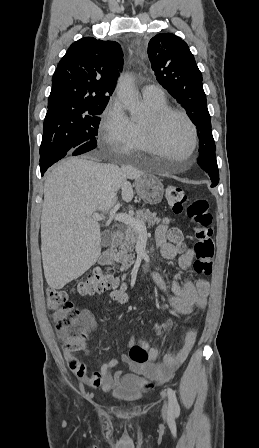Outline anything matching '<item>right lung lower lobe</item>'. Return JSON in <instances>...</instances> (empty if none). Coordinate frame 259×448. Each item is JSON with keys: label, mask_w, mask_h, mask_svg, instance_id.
I'll return each instance as SVG.
<instances>
[{"label": "right lung lower lobe", "mask_w": 259, "mask_h": 448, "mask_svg": "<svg viewBox=\"0 0 259 448\" xmlns=\"http://www.w3.org/2000/svg\"><path fill=\"white\" fill-rule=\"evenodd\" d=\"M66 155H68L67 152L65 153H57V154H48V155H43L40 157V170H41V175H44L45 171L51 166L53 165L55 162H57L58 160L62 159L63 157H65Z\"/></svg>", "instance_id": "1"}]
</instances>
